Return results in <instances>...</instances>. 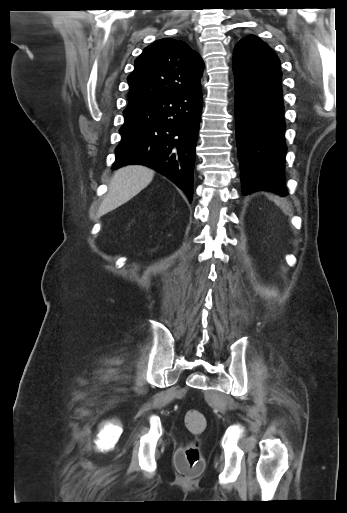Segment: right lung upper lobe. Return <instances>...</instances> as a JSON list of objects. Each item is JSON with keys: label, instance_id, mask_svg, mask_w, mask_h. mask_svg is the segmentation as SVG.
<instances>
[{"label": "right lung upper lobe", "instance_id": "obj_1", "mask_svg": "<svg viewBox=\"0 0 347 513\" xmlns=\"http://www.w3.org/2000/svg\"><path fill=\"white\" fill-rule=\"evenodd\" d=\"M203 68L201 57L185 42L172 38L154 42L135 60L128 77V107L201 90Z\"/></svg>", "mask_w": 347, "mask_h": 513}]
</instances>
